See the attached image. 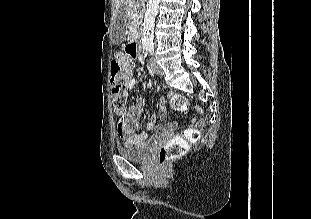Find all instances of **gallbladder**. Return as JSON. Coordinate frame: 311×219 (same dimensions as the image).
Listing matches in <instances>:
<instances>
[{"instance_id": "bac80fb5", "label": "gallbladder", "mask_w": 311, "mask_h": 219, "mask_svg": "<svg viewBox=\"0 0 311 219\" xmlns=\"http://www.w3.org/2000/svg\"><path fill=\"white\" fill-rule=\"evenodd\" d=\"M126 28H127L126 17L125 15L120 14L117 17L115 24L113 25V28L111 30L112 41L115 44H120L125 39Z\"/></svg>"}]
</instances>
